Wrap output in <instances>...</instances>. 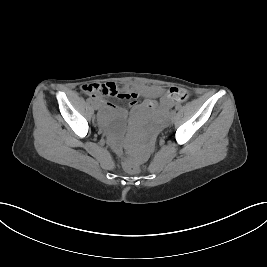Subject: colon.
I'll return each instance as SVG.
<instances>
[{"label": "colon", "instance_id": "1", "mask_svg": "<svg viewBox=\"0 0 267 267\" xmlns=\"http://www.w3.org/2000/svg\"><path fill=\"white\" fill-rule=\"evenodd\" d=\"M88 85V93H85L87 95L92 96H101L105 98L110 99H120L125 97V95L121 94L115 86L109 85V84H87ZM171 96L172 98L177 102H182L188 99L189 92L183 88H174L171 90ZM126 97H128L126 95ZM123 167L128 172H136L139 168L138 164L132 163L128 160H125L123 162Z\"/></svg>", "mask_w": 267, "mask_h": 267}]
</instances>
